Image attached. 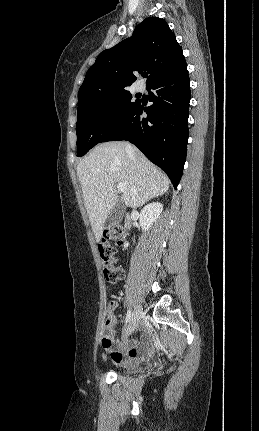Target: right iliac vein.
Segmentation results:
<instances>
[{
  "label": "right iliac vein",
  "instance_id": "1",
  "mask_svg": "<svg viewBox=\"0 0 259 431\" xmlns=\"http://www.w3.org/2000/svg\"><path fill=\"white\" fill-rule=\"evenodd\" d=\"M142 316H143V310H142V308L140 306L136 307V309H135V311H134V313L132 315V318L130 320V323L128 324L127 332H126V337L132 331H134L136 329V327L138 326V324H139Z\"/></svg>",
  "mask_w": 259,
  "mask_h": 431
}]
</instances>
